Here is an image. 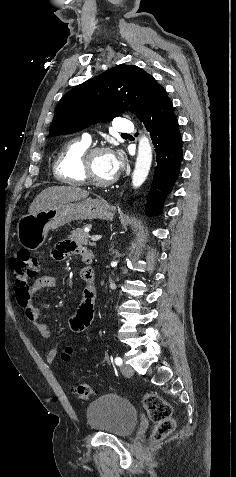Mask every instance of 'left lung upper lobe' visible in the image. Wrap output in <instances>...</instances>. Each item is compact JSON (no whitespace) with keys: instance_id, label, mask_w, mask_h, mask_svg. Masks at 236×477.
Masks as SVG:
<instances>
[{"instance_id":"obj_1","label":"left lung upper lobe","mask_w":236,"mask_h":477,"mask_svg":"<svg viewBox=\"0 0 236 477\" xmlns=\"http://www.w3.org/2000/svg\"><path fill=\"white\" fill-rule=\"evenodd\" d=\"M160 86L135 65H118L78 85L58 103L49 136L74 133L97 122H109L130 110L143 121Z\"/></svg>"}]
</instances>
